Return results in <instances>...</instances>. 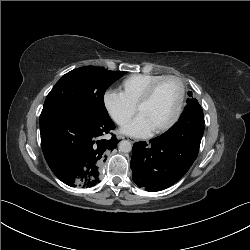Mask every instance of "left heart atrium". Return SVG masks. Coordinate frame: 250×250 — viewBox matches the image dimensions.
I'll use <instances>...</instances> for the list:
<instances>
[{"label": "left heart atrium", "instance_id": "1", "mask_svg": "<svg viewBox=\"0 0 250 250\" xmlns=\"http://www.w3.org/2000/svg\"><path fill=\"white\" fill-rule=\"evenodd\" d=\"M151 131L152 130L147 121L140 114H138L133 120L122 128L123 133L135 137L147 136L151 133Z\"/></svg>", "mask_w": 250, "mask_h": 250}]
</instances>
